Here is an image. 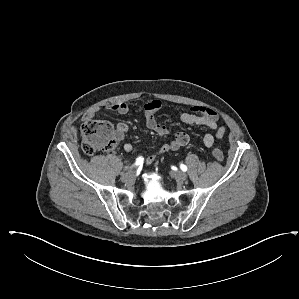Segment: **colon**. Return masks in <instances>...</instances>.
<instances>
[{
	"mask_svg": "<svg viewBox=\"0 0 299 299\" xmlns=\"http://www.w3.org/2000/svg\"><path fill=\"white\" fill-rule=\"evenodd\" d=\"M113 126L106 120L89 119L81 128V146L87 155L101 151L112 150L115 146ZM212 154L218 161L224 160V154L219 148H213Z\"/></svg>",
	"mask_w": 299,
	"mask_h": 299,
	"instance_id": "obj_1",
	"label": "colon"
}]
</instances>
